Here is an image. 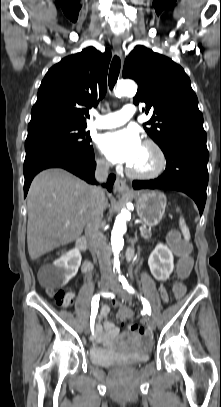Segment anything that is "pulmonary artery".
Returning <instances> with one entry per match:
<instances>
[{
  "label": "pulmonary artery",
  "mask_w": 221,
  "mask_h": 407,
  "mask_svg": "<svg viewBox=\"0 0 221 407\" xmlns=\"http://www.w3.org/2000/svg\"><path fill=\"white\" fill-rule=\"evenodd\" d=\"M136 109L132 104L123 106L122 109L104 115H97L92 127L99 129L114 128L126 123L135 114Z\"/></svg>",
  "instance_id": "e3ab8cb5"
}]
</instances>
